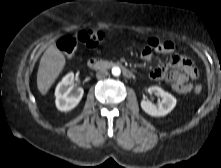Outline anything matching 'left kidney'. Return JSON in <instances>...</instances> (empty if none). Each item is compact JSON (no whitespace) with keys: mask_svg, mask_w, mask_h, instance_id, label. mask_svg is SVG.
I'll return each mask as SVG.
<instances>
[{"mask_svg":"<svg viewBox=\"0 0 221 168\" xmlns=\"http://www.w3.org/2000/svg\"><path fill=\"white\" fill-rule=\"evenodd\" d=\"M150 94H155L161 97V101L158 104L152 103L148 99H143L140 103L141 108L148 115L153 117L165 116L170 113L176 106L177 100L170 93L165 92L158 86H151L148 88Z\"/></svg>","mask_w":221,"mask_h":168,"instance_id":"left-kidney-1","label":"left kidney"}]
</instances>
